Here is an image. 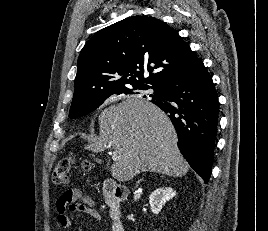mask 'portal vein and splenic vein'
Segmentation results:
<instances>
[{
	"label": "portal vein and splenic vein",
	"mask_w": 268,
	"mask_h": 231,
	"mask_svg": "<svg viewBox=\"0 0 268 231\" xmlns=\"http://www.w3.org/2000/svg\"><path fill=\"white\" fill-rule=\"evenodd\" d=\"M113 160L115 161V160H117V158L115 156H113Z\"/></svg>",
	"instance_id": "portal-vein-and-splenic-vein-1"
}]
</instances>
